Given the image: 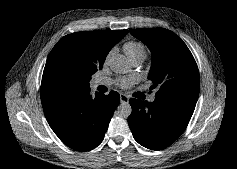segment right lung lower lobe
<instances>
[{
  "instance_id": "98d812e1",
  "label": "right lung lower lobe",
  "mask_w": 237,
  "mask_h": 169,
  "mask_svg": "<svg viewBox=\"0 0 237 169\" xmlns=\"http://www.w3.org/2000/svg\"><path fill=\"white\" fill-rule=\"evenodd\" d=\"M120 102L117 92L90 94L86 87L43 106L46 119L60 140L77 151H88L103 140Z\"/></svg>"
}]
</instances>
